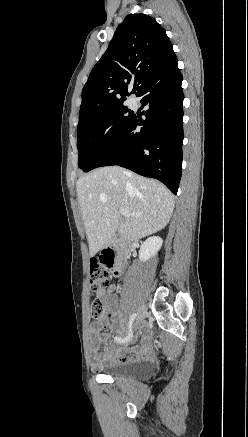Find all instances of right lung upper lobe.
<instances>
[{
  "label": "right lung upper lobe",
  "instance_id": "1",
  "mask_svg": "<svg viewBox=\"0 0 248 437\" xmlns=\"http://www.w3.org/2000/svg\"><path fill=\"white\" fill-rule=\"evenodd\" d=\"M174 55L165 30L154 18L142 13L128 15L83 88L78 126L125 100L131 80L136 94Z\"/></svg>",
  "mask_w": 248,
  "mask_h": 437
}]
</instances>
